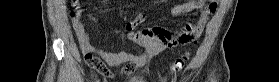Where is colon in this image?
I'll return each instance as SVG.
<instances>
[{
  "label": "colon",
  "mask_w": 279,
  "mask_h": 82,
  "mask_svg": "<svg viewBox=\"0 0 279 82\" xmlns=\"http://www.w3.org/2000/svg\"><path fill=\"white\" fill-rule=\"evenodd\" d=\"M199 2V1H198ZM209 4H217L218 1L217 0H212V1H208ZM72 17L75 18L76 17V13H72ZM190 57V53L188 51L184 52L180 57H178L175 60L174 66H173V70L174 71H179L182 68H184V66L187 64L188 60ZM100 67L103 69V66L100 65Z\"/></svg>",
  "instance_id": "5ec220e1"
}]
</instances>
